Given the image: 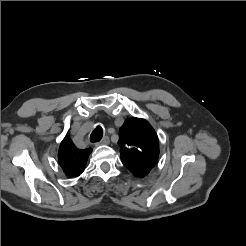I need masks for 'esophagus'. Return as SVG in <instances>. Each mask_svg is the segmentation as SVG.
Returning <instances> with one entry per match:
<instances>
[{
    "mask_svg": "<svg viewBox=\"0 0 246 246\" xmlns=\"http://www.w3.org/2000/svg\"><path fill=\"white\" fill-rule=\"evenodd\" d=\"M109 142H110L109 137L105 136V137H103V139H102L100 142H98L96 145H108Z\"/></svg>",
    "mask_w": 246,
    "mask_h": 246,
    "instance_id": "obj_1",
    "label": "esophagus"
}]
</instances>
